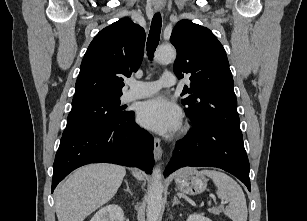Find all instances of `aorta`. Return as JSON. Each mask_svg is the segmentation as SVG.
I'll use <instances>...</instances> for the list:
<instances>
[{"mask_svg": "<svg viewBox=\"0 0 307 221\" xmlns=\"http://www.w3.org/2000/svg\"><path fill=\"white\" fill-rule=\"evenodd\" d=\"M176 58V50L173 46L162 45L155 54V59L161 64L172 62ZM162 174L160 168L156 167L152 172V183L147 196V221H157L162 208Z\"/></svg>", "mask_w": 307, "mask_h": 221, "instance_id": "obj_1", "label": "aorta"}]
</instances>
